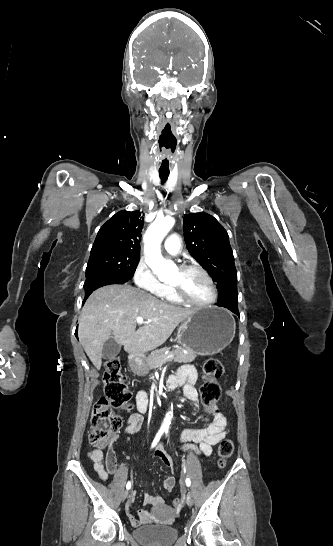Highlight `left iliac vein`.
<instances>
[{"label": "left iliac vein", "instance_id": "obj_1", "mask_svg": "<svg viewBox=\"0 0 333 546\" xmlns=\"http://www.w3.org/2000/svg\"><path fill=\"white\" fill-rule=\"evenodd\" d=\"M186 503H187L188 506L193 505V497H192V494L190 492H188V494H187Z\"/></svg>", "mask_w": 333, "mask_h": 546}]
</instances>
